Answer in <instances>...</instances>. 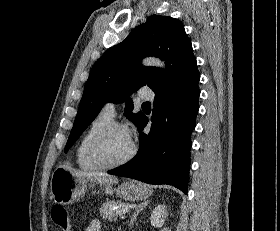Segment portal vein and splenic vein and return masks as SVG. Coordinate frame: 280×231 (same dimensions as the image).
I'll return each mask as SVG.
<instances>
[{"label": "portal vein and splenic vein", "mask_w": 280, "mask_h": 231, "mask_svg": "<svg viewBox=\"0 0 280 231\" xmlns=\"http://www.w3.org/2000/svg\"><path fill=\"white\" fill-rule=\"evenodd\" d=\"M126 211H129L128 205H125V207H122V209H116L115 213L116 215H120V213H126Z\"/></svg>", "instance_id": "obj_1"}]
</instances>
